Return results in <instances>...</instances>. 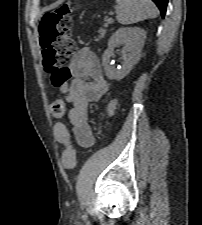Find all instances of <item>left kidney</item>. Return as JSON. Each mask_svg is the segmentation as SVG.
Masks as SVG:
<instances>
[{
	"instance_id": "left-kidney-1",
	"label": "left kidney",
	"mask_w": 202,
	"mask_h": 225,
	"mask_svg": "<svg viewBox=\"0 0 202 225\" xmlns=\"http://www.w3.org/2000/svg\"><path fill=\"white\" fill-rule=\"evenodd\" d=\"M145 39L146 31L139 27H121L113 33L108 41V49L102 56V63L108 79L121 80L130 73L140 59ZM122 43L125 44L123 50L124 64L116 68L110 63V59L114 55V48Z\"/></svg>"
}]
</instances>
